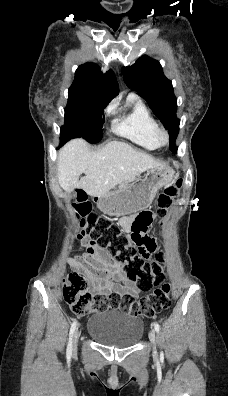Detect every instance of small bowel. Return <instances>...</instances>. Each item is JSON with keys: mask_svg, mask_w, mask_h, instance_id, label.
Instances as JSON below:
<instances>
[{"mask_svg": "<svg viewBox=\"0 0 228 396\" xmlns=\"http://www.w3.org/2000/svg\"><path fill=\"white\" fill-rule=\"evenodd\" d=\"M131 218H124L120 222L125 233L130 232ZM132 245V243H129ZM86 252L75 255L68 260L71 268L83 274L91 285L93 294L109 295L111 293L136 295L140 289L128 280L122 268L107 256L104 249L98 247L92 239H85L82 243ZM94 249V250H93Z\"/></svg>", "mask_w": 228, "mask_h": 396, "instance_id": "c3829d8e", "label": "small bowel"}]
</instances>
